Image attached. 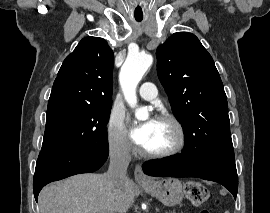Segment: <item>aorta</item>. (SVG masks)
<instances>
[{
  "label": "aorta",
  "instance_id": "obj_1",
  "mask_svg": "<svg viewBox=\"0 0 270 213\" xmlns=\"http://www.w3.org/2000/svg\"><path fill=\"white\" fill-rule=\"evenodd\" d=\"M152 63V55L140 52L128 55L121 68L120 84L125 99L131 107L137 104L136 87ZM135 116L139 120H145L148 118V111L146 108H138Z\"/></svg>",
  "mask_w": 270,
  "mask_h": 213
}]
</instances>
